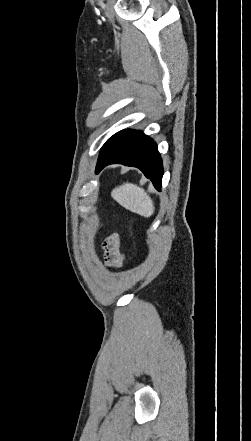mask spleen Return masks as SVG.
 Listing matches in <instances>:
<instances>
[{"mask_svg":"<svg viewBox=\"0 0 251 441\" xmlns=\"http://www.w3.org/2000/svg\"><path fill=\"white\" fill-rule=\"evenodd\" d=\"M111 197L121 206L144 217L154 213V204L144 189L132 183H124L111 192Z\"/></svg>","mask_w":251,"mask_h":441,"instance_id":"3e777b00","label":"spleen"}]
</instances>
